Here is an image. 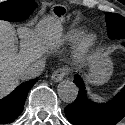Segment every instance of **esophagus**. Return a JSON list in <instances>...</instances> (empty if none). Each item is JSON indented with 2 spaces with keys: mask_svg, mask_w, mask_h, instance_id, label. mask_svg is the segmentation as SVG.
I'll list each match as a JSON object with an SVG mask.
<instances>
[{
  "mask_svg": "<svg viewBox=\"0 0 125 125\" xmlns=\"http://www.w3.org/2000/svg\"><path fill=\"white\" fill-rule=\"evenodd\" d=\"M68 73V70L65 68H59L55 70L51 76L52 80L55 82L61 81L65 75Z\"/></svg>",
  "mask_w": 125,
  "mask_h": 125,
  "instance_id": "esophagus-1",
  "label": "esophagus"
}]
</instances>
